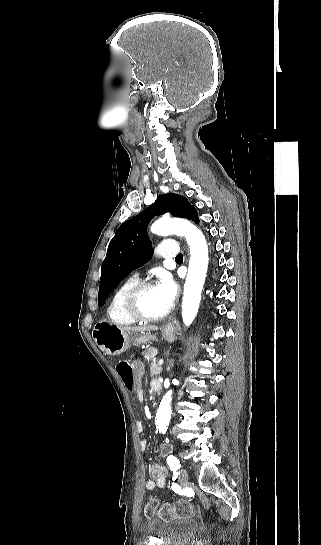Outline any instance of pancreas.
Returning a JSON list of instances; mask_svg holds the SVG:
<instances>
[{
  "mask_svg": "<svg viewBox=\"0 0 321 545\" xmlns=\"http://www.w3.org/2000/svg\"><path fill=\"white\" fill-rule=\"evenodd\" d=\"M160 373H162V367H160V365H157V363H151L150 377H156V375H160Z\"/></svg>",
  "mask_w": 321,
  "mask_h": 545,
  "instance_id": "obj_1",
  "label": "pancreas"
}]
</instances>
